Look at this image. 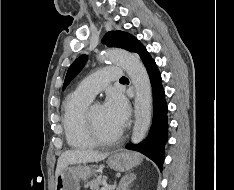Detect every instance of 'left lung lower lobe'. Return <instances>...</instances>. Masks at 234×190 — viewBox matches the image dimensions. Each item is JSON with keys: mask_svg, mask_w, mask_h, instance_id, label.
<instances>
[{"mask_svg": "<svg viewBox=\"0 0 234 190\" xmlns=\"http://www.w3.org/2000/svg\"><path fill=\"white\" fill-rule=\"evenodd\" d=\"M136 53L146 66L153 92V120L146 140L138 145L127 144L126 148L136 150L153 160L162 170L164 161V146L168 140V118L165 92L162 86L161 74L155 61L144 46Z\"/></svg>", "mask_w": 234, "mask_h": 190, "instance_id": "0a47b994", "label": "left lung lower lobe"}]
</instances>
